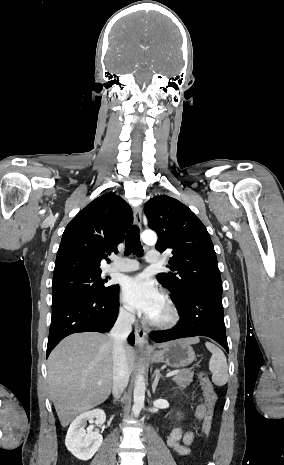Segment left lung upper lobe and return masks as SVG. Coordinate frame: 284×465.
Wrapping results in <instances>:
<instances>
[{
    "label": "left lung upper lobe",
    "instance_id": "1",
    "mask_svg": "<svg viewBox=\"0 0 284 465\" xmlns=\"http://www.w3.org/2000/svg\"><path fill=\"white\" fill-rule=\"evenodd\" d=\"M149 227L159 236L155 248L171 251L168 267L158 281L171 298L186 292L207 291L222 295V281L210 235L200 219L180 201L167 195L150 199L144 207Z\"/></svg>",
    "mask_w": 284,
    "mask_h": 465
}]
</instances>
